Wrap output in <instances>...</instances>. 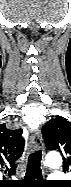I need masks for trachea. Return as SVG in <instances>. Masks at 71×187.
Here are the masks:
<instances>
[{
    "instance_id": "1",
    "label": "trachea",
    "mask_w": 71,
    "mask_h": 187,
    "mask_svg": "<svg viewBox=\"0 0 71 187\" xmlns=\"http://www.w3.org/2000/svg\"><path fill=\"white\" fill-rule=\"evenodd\" d=\"M41 158H42L41 151H36L29 155L26 178L39 179L42 177V171L40 169Z\"/></svg>"
}]
</instances>
